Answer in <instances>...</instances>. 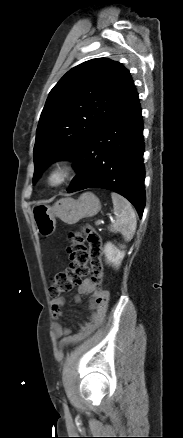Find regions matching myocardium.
I'll return each mask as SVG.
<instances>
[{"mask_svg":"<svg viewBox=\"0 0 183 438\" xmlns=\"http://www.w3.org/2000/svg\"><path fill=\"white\" fill-rule=\"evenodd\" d=\"M73 165L68 161H61L54 164L46 175V183L51 188H59L69 181L73 174ZM57 175V182H53L52 178Z\"/></svg>","mask_w":183,"mask_h":438,"instance_id":"f54148a6","label":"myocardium"}]
</instances>
